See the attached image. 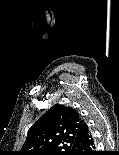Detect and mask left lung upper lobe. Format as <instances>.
<instances>
[{
  "label": "left lung upper lobe",
  "instance_id": "left-lung-upper-lobe-1",
  "mask_svg": "<svg viewBox=\"0 0 119 155\" xmlns=\"http://www.w3.org/2000/svg\"><path fill=\"white\" fill-rule=\"evenodd\" d=\"M82 123L74 108L56 104L29 129L16 155H75Z\"/></svg>",
  "mask_w": 119,
  "mask_h": 155
}]
</instances>
